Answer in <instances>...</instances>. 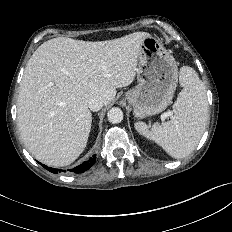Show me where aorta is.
<instances>
[{
	"mask_svg": "<svg viewBox=\"0 0 232 232\" xmlns=\"http://www.w3.org/2000/svg\"><path fill=\"white\" fill-rule=\"evenodd\" d=\"M107 117L113 124L120 123L123 120V111L118 107H113L108 111Z\"/></svg>",
	"mask_w": 232,
	"mask_h": 232,
	"instance_id": "1",
	"label": "aorta"
}]
</instances>
